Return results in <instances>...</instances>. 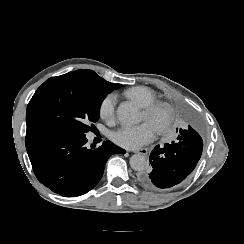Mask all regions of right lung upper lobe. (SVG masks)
<instances>
[{"mask_svg":"<svg viewBox=\"0 0 244 244\" xmlns=\"http://www.w3.org/2000/svg\"><path fill=\"white\" fill-rule=\"evenodd\" d=\"M106 81V80H105ZM107 82V81H106ZM118 84H114V83H109L107 82L106 83V86L109 88V89H116L115 87L117 86Z\"/></svg>","mask_w":244,"mask_h":244,"instance_id":"cb5924a9","label":"right lung upper lobe"}]
</instances>
